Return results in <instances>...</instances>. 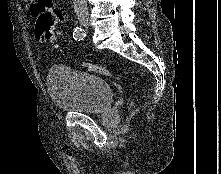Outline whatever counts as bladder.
<instances>
[{
	"mask_svg": "<svg viewBox=\"0 0 221 174\" xmlns=\"http://www.w3.org/2000/svg\"><path fill=\"white\" fill-rule=\"evenodd\" d=\"M47 89L55 106L78 113H100L114 99L113 89L104 78L65 65L49 69Z\"/></svg>",
	"mask_w": 221,
	"mask_h": 174,
	"instance_id": "obj_1",
	"label": "bladder"
}]
</instances>
